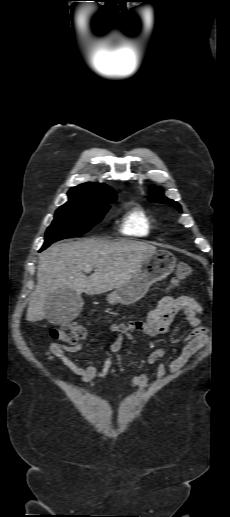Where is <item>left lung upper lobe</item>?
Here are the masks:
<instances>
[{
    "label": "left lung upper lobe",
    "instance_id": "left-lung-upper-lobe-1",
    "mask_svg": "<svg viewBox=\"0 0 230 517\" xmlns=\"http://www.w3.org/2000/svg\"><path fill=\"white\" fill-rule=\"evenodd\" d=\"M148 199H149V201L155 202V203L169 204V205L177 208L179 211H181V206L177 202L163 196V191L160 188L153 187L150 191V195H149Z\"/></svg>",
    "mask_w": 230,
    "mask_h": 517
}]
</instances>
